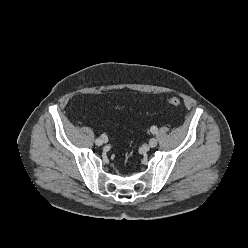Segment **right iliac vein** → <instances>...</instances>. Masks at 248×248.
Segmentation results:
<instances>
[{
	"mask_svg": "<svg viewBox=\"0 0 248 248\" xmlns=\"http://www.w3.org/2000/svg\"><path fill=\"white\" fill-rule=\"evenodd\" d=\"M101 140H102V144L107 143V141H108L107 139H102V138H101Z\"/></svg>",
	"mask_w": 248,
	"mask_h": 248,
	"instance_id": "1",
	"label": "right iliac vein"
}]
</instances>
